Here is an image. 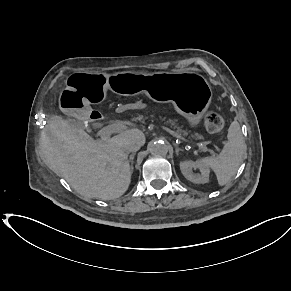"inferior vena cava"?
Returning <instances> with one entry per match:
<instances>
[{
    "instance_id": "inferior-vena-cava-1",
    "label": "inferior vena cava",
    "mask_w": 291,
    "mask_h": 291,
    "mask_svg": "<svg viewBox=\"0 0 291 291\" xmlns=\"http://www.w3.org/2000/svg\"><path fill=\"white\" fill-rule=\"evenodd\" d=\"M141 145L138 142H127L123 145L125 152H136L140 149Z\"/></svg>"
}]
</instances>
